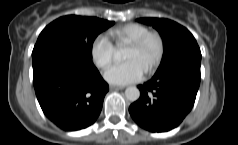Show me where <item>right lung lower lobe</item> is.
Returning a JSON list of instances; mask_svg holds the SVG:
<instances>
[{
    "label": "right lung lower lobe",
    "instance_id": "1",
    "mask_svg": "<svg viewBox=\"0 0 238 145\" xmlns=\"http://www.w3.org/2000/svg\"><path fill=\"white\" fill-rule=\"evenodd\" d=\"M33 84L45 116L64 131L87 128L98 118L108 84L93 62L65 51L33 57Z\"/></svg>",
    "mask_w": 238,
    "mask_h": 145
}]
</instances>
